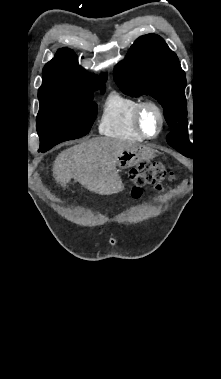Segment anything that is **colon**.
<instances>
[{
  "label": "colon",
  "mask_w": 221,
  "mask_h": 379,
  "mask_svg": "<svg viewBox=\"0 0 221 379\" xmlns=\"http://www.w3.org/2000/svg\"><path fill=\"white\" fill-rule=\"evenodd\" d=\"M131 180L130 194L132 198L138 199L143 193V188L147 185H153L157 188L166 179H172V172L160 162L141 163L129 172Z\"/></svg>",
  "instance_id": "obj_1"
}]
</instances>
